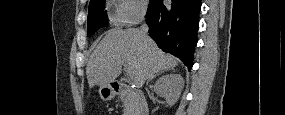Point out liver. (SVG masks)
<instances>
[{
	"instance_id": "liver-1",
	"label": "liver",
	"mask_w": 285,
	"mask_h": 115,
	"mask_svg": "<svg viewBox=\"0 0 285 115\" xmlns=\"http://www.w3.org/2000/svg\"><path fill=\"white\" fill-rule=\"evenodd\" d=\"M123 65L132 73L135 86L141 88L146 79L177 66L178 60L162 52L149 37L143 40L135 29L113 28L89 58L86 67L89 87L114 82Z\"/></svg>"
}]
</instances>
